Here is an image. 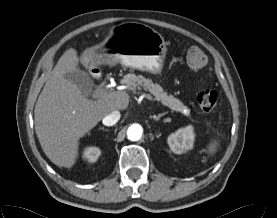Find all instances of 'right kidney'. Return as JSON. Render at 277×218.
<instances>
[{
	"label": "right kidney",
	"instance_id": "ca27d5eb",
	"mask_svg": "<svg viewBox=\"0 0 277 218\" xmlns=\"http://www.w3.org/2000/svg\"><path fill=\"white\" fill-rule=\"evenodd\" d=\"M100 154L101 151L98 147H88L83 151V158L90 163H94L97 161Z\"/></svg>",
	"mask_w": 277,
	"mask_h": 218
}]
</instances>
